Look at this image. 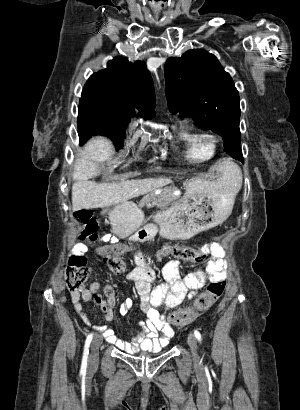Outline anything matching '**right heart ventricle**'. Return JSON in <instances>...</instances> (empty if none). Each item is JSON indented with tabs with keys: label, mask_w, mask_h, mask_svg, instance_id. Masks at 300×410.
<instances>
[{
	"label": "right heart ventricle",
	"mask_w": 300,
	"mask_h": 410,
	"mask_svg": "<svg viewBox=\"0 0 300 410\" xmlns=\"http://www.w3.org/2000/svg\"><path fill=\"white\" fill-rule=\"evenodd\" d=\"M184 145L185 157L191 161H202L211 158L215 152L213 136L189 125H183L178 133Z\"/></svg>",
	"instance_id": "e07e8e85"
}]
</instances>
